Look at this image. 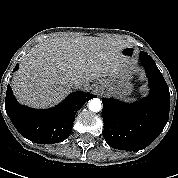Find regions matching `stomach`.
Instances as JSON below:
<instances>
[{"instance_id":"0dacf381","label":"stomach","mask_w":178,"mask_h":178,"mask_svg":"<svg viewBox=\"0 0 178 178\" xmlns=\"http://www.w3.org/2000/svg\"><path fill=\"white\" fill-rule=\"evenodd\" d=\"M131 55L127 53V48L120 52V59L129 60ZM101 89L108 95L116 97H127L132 93L133 85L128 76L123 72H113L99 80Z\"/></svg>"}]
</instances>
